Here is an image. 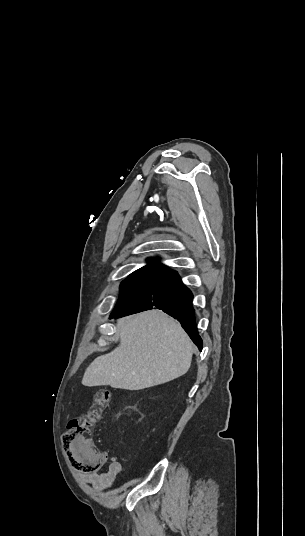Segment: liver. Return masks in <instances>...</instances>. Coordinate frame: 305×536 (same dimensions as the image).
Segmentation results:
<instances>
[{"label":"liver","instance_id":"obj_1","mask_svg":"<svg viewBox=\"0 0 305 536\" xmlns=\"http://www.w3.org/2000/svg\"><path fill=\"white\" fill-rule=\"evenodd\" d=\"M120 346L88 366L83 386L143 390L188 372L192 342L174 318L159 310L119 320Z\"/></svg>","mask_w":305,"mask_h":536}]
</instances>
